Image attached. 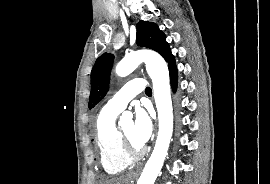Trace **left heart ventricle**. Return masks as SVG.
<instances>
[{
	"mask_svg": "<svg viewBox=\"0 0 270 184\" xmlns=\"http://www.w3.org/2000/svg\"><path fill=\"white\" fill-rule=\"evenodd\" d=\"M121 128L135 146H138V147L142 146L139 142H137V140L134 137L133 121H131V120L125 121L122 124Z\"/></svg>",
	"mask_w": 270,
	"mask_h": 184,
	"instance_id": "1",
	"label": "left heart ventricle"
}]
</instances>
